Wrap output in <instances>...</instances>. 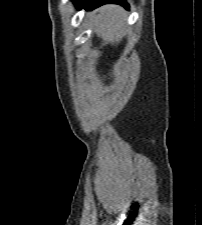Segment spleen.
<instances>
[{"label": "spleen", "instance_id": "1", "mask_svg": "<svg viewBox=\"0 0 202 225\" xmlns=\"http://www.w3.org/2000/svg\"><path fill=\"white\" fill-rule=\"evenodd\" d=\"M95 32L112 44L119 42L125 33L124 10L119 6H107L100 10L94 22Z\"/></svg>", "mask_w": 202, "mask_h": 225}]
</instances>
